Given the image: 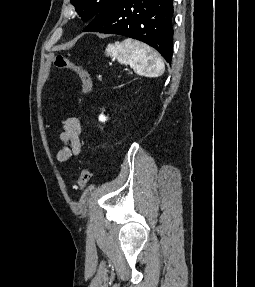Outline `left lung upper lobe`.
Here are the masks:
<instances>
[{
  "mask_svg": "<svg viewBox=\"0 0 255 287\" xmlns=\"http://www.w3.org/2000/svg\"><path fill=\"white\" fill-rule=\"evenodd\" d=\"M83 21L99 14L112 0H70Z\"/></svg>",
  "mask_w": 255,
  "mask_h": 287,
  "instance_id": "5c2ea615",
  "label": "left lung upper lobe"
}]
</instances>
